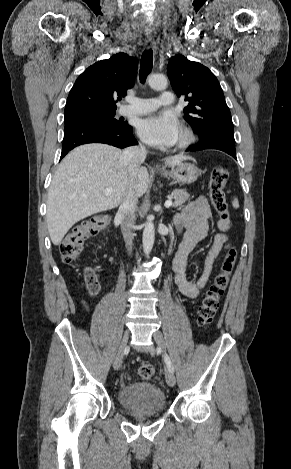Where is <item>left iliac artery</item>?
Instances as JSON below:
<instances>
[{"label": "left iliac artery", "mask_w": 291, "mask_h": 469, "mask_svg": "<svg viewBox=\"0 0 291 469\" xmlns=\"http://www.w3.org/2000/svg\"><path fill=\"white\" fill-rule=\"evenodd\" d=\"M165 361H166V364L168 366V369L171 371V372H174V367L172 365V362L169 358V356L167 354H165Z\"/></svg>", "instance_id": "left-iliac-artery-1"}]
</instances>
